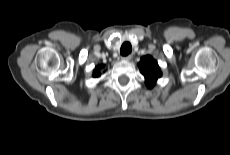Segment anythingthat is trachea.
Returning a JSON list of instances; mask_svg holds the SVG:
<instances>
[{
    "instance_id": "obj_1",
    "label": "trachea",
    "mask_w": 230,
    "mask_h": 155,
    "mask_svg": "<svg viewBox=\"0 0 230 155\" xmlns=\"http://www.w3.org/2000/svg\"><path fill=\"white\" fill-rule=\"evenodd\" d=\"M132 51V46L129 42H124L121 46V49H120V54L122 56H127L128 54H130Z\"/></svg>"
}]
</instances>
